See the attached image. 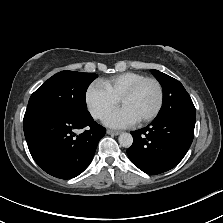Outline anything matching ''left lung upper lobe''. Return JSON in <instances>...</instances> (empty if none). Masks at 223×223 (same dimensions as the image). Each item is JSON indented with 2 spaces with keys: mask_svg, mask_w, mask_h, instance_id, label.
<instances>
[{
  "mask_svg": "<svg viewBox=\"0 0 223 223\" xmlns=\"http://www.w3.org/2000/svg\"><path fill=\"white\" fill-rule=\"evenodd\" d=\"M163 88V104L154 120L172 117L196 119L194 104L183 85L171 76L151 70Z\"/></svg>",
  "mask_w": 223,
  "mask_h": 223,
  "instance_id": "5c2ea615",
  "label": "left lung upper lobe"
}]
</instances>
